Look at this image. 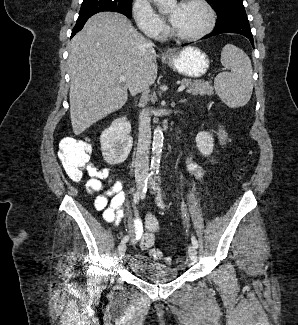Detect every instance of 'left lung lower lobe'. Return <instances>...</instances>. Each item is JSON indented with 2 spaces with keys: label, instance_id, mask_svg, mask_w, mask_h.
<instances>
[{
  "label": "left lung lower lobe",
  "instance_id": "1",
  "mask_svg": "<svg viewBox=\"0 0 298 325\" xmlns=\"http://www.w3.org/2000/svg\"><path fill=\"white\" fill-rule=\"evenodd\" d=\"M221 33H237L247 37L251 44L254 46L253 36L251 33L249 21L245 10L235 11L227 15L224 19L217 21L213 32L205 38H209ZM187 44H184L185 46Z\"/></svg>",
  "mask_w": 298,
  "mask_h": 325
}]
</instances>
